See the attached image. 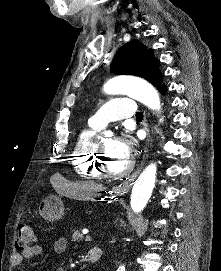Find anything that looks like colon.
Instances as JSON below:
<instances>
[{
	"label": "colon",
	"instance_id": "1",
	"mask_svg": "<svg viewBox=\"0 0 221 271\" xmlns=\"http://www.w3.org/2000/svg\"><path fill=\"white\" fill-rule=\"evenodd\" d=\"M35 234L32 227L28 223H20L16 236V250L23 251L34 245Z\"/></svg>",
	"mask_w": 221,
	"mask_h": 271
}]
</instances>
